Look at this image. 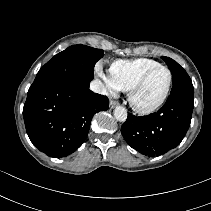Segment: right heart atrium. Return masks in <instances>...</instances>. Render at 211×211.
<instances>
[{"instance_id":"obj_1","label":"right heart atrium","mask_w":211,"mask_h":211,"mask_svg":"<svg viewBox=\"0 0 211 211\" xmlns=\"http://www.w3.org/2000/svg\"><path fill=\"white\" fill-rule=\"evenodd\" d=\"M97 73L102 78V80L104 81L107 92L110 95H115L118 92L119 89L115 86L111 77L104 74L100 69H97Z\"/></svg>"}]
</instances>
